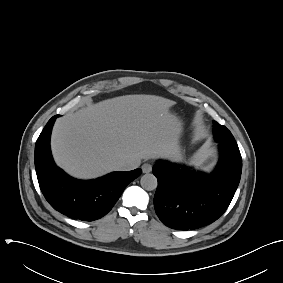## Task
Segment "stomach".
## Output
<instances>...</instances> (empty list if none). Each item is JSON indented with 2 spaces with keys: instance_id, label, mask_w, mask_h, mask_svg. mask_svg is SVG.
Listing matches in <instances>:
<instances>
[{
  "instance_id": "1",
  "label": "stomach",
  "mask_w": 283,
  "mask_h": 283,
  "mask_svg": "<svg viewBox=\"0 0 283 283\" xmlns=\"http://www.w3.org/2000/svg\"><path fill=\"white\" fill-rule=\"evenodd\" d=\"M175 118H176V120H177V122H178V124H179V128H180V133H181V131H182V128H183V126H182V122L175 116Z\"/></svg>"
}]
</instances>
